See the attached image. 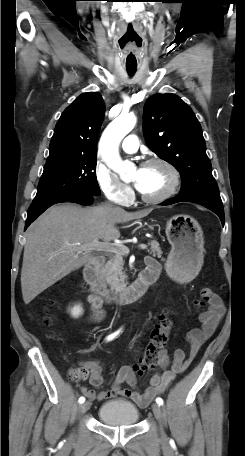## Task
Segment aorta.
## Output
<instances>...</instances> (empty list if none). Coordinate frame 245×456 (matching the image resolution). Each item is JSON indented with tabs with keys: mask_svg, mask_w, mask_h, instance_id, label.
I'll use <instances>...</instances> for the list:
<instances>
[{
	"mask_svg": "<svg viewBox=\"0 0 245 456\" xmlns=\"http://www.w3.org/2000/svg\"><path fill=\"white\" fill-rule=\"evenodd\" d=\"M136 117L131 114H122L114 119L104 130L99 149L103 160L114 172L124 177L132 164L123 161L119 155V144L122 139L134 128Z\"/></svg>",
	"mask_w": 245,
	"mask_h": 456,
	"instance_id": "1",
	"label": "aorta"
}]
</instances>
